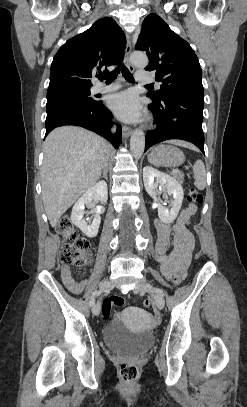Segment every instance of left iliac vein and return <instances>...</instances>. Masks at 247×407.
Returning a JSON list of instances; mask_svg holds the SVG:
<instances>
[{
    "label": "left iliac vein",
    "mask_w": 247,
    "mask_h": 407,
    "mask_svg": "<svg viewBox=\"0 0 247 407\" xmlns=\"http://www.w3.org/2000/svg\"><path fill=\"white\" fill-rule=\"evenodd\" d=\"M153 289H154L153 286L148 282H141L137 288V290L140 291L141 293L152 292ZM153 297L157 308L160 310L163 309L165 304L163 296L155 292L153 293Z\"/></svg>",
    "instance_id": "1"
}]
</instances>
